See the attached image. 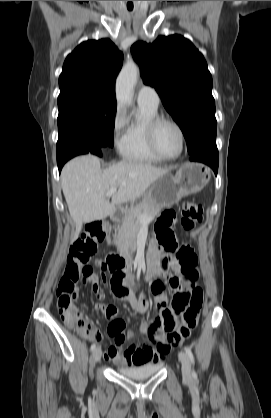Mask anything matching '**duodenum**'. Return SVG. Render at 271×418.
<instances>
[{"label": "duodenum", "instance_id": "410a0bca", "mask_svg": "<svg viewBox=\"0 0 271 418\" xmlns=\"http://www.w3.org/2000/svg\"><path fill=\"white\" fill-rule=\"evenodd\" d=\"M111 218L113 221H120L123 218V214L121 211H115L114 213H112ZM107 262L111 271L113 268L117 266H122L128 269L131 264L130 258L128 256L118 254L109 255L107 258Z\"/></svg>", "mask_w": 271, "mask_h": 418}]
</instances>
